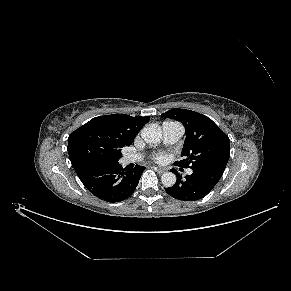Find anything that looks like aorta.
Instances as JSON below:
<instances>
[{"mask_svg": "<svg viewBox=\"0 0 291 291\" xmlns=\"http://www.w3.org/2000/svg\"><path fill=\"white\" fill-rule=\"evenodd\" d=\"M141 137L146 143L157 144L162 139V132L158 128L148 125L141 130ZM161 181L165 187H172L176 183V175L172 172H165L161 176Z\"/></svg>", "mask_w": 291, "mask_h": 291, "instance_id": "1", "label": "aorta"}]
</instances>
